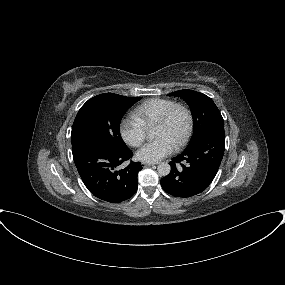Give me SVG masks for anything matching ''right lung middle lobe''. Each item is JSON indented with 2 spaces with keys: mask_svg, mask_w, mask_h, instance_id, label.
<instances>
[{
  "mask_svg": "<svg viewBox=\"0 0 285 285\" xmlns=\"http://www.w3.org/2000/svg\"><path fill=\"white\" fill-rule=\"evenodd\" d=\"M141 97L104 93L89 99L79 110L71 132L72 143L92 140L117 151L128 149L119 126L125 112Z\"/></svg>",
  "mask_w": 285,
  "mask_h": 285,
  "instance_id": "obj_1",
  "label": "right lung middle lobe"
}]
</instances>
